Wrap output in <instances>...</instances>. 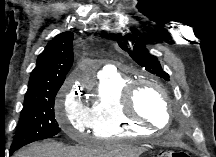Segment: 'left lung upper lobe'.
I'll return each instance as SVG.
<instances>
[{
	"label": "left lung upper lobe",
	"mask_w": 216,
	"mask_h": 157,
	"mask_svg": "<svg viewBox=\"0 0 216 157\" xmlns=\"http://www.w3.org/2000/svg\"><path fill=\"white\" fill-rule=\"evenodd\" d=\"M118 45L124 51H127L131 58L148 72L169 81V75L163 71L157 58L151 55L141 42H136L131 48H128L127 44L123 41L119 42Z\"/></svg>",
	"instance_id": "left-lung-upper-lobe-1"
}]
</instances>
